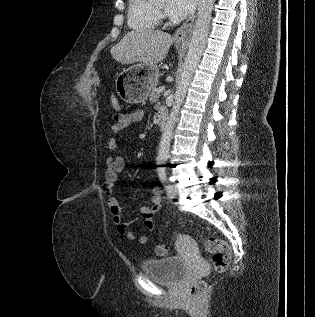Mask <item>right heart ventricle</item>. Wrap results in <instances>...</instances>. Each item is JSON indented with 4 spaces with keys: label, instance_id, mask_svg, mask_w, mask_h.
I'll use <instances>...</instances> for the list:
<instances>
[{
    "label": "right heart ventricle",
    "instance_id": "obj_1",
    "mask_svg": "<svg viewBox=\"0 0 315 317\" xmlns=\"http://www.w3.org/2000/svg\"><path fill=\"white\" fill-rule=\"evenodd\" d=\"M127 21L134 30L154 29L160 22V14L150 0H128Z\"/></svg>",
    "mask_w": 315,
    "mask_h": 317
}]
</instances>
